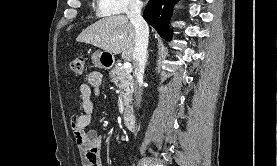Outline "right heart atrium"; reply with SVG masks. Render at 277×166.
I'll return each mask as SVG.
<instances>
[{
  "label": "right heart atrium",
  "mask_w": 277,
  "mask_h": 166,
  "mask_svg": "<svg viewBox=\"0 0 277 166\" xmlns=\"http://www.w3.org/2000/svg\"><path fill=\"white\" fill-rule=\"evenodd\" d=\"M97 10L102 15L130 13L140 9V0H96Z\"/></svg>",
  "instance_id": "1"
}]
</instances>
